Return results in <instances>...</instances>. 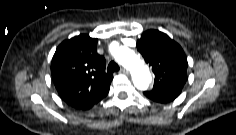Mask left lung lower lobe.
I'll return each instance as SVG.
<instances>
[{"label": "left lung lower lobe", "mask_w": 236, "mask_h": 135, "mask_svg": "<svg viewBox=\"0 0 236 135\" xmlns=\"http://www.w3.org/2000/svg\"><path fill=\"white\" fill-rule=\"evenodd\" d=\"M182 88H173L166 90L158 91H146L144 95L150 100L159 102V103H168L173 101L181 93Z\"/></svg>", "instance_id": "0a47b994"}]
</instances>
